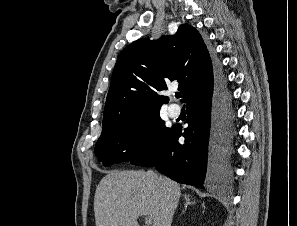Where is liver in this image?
Masks as SVG:
<instances>
[{
  "mask_svg": "<svg viewBox=\"0 0 297 226\" xmlns=\"http://www.w3.org/2000/svg\"><path fill=\"white\" fill-rule=\"evenodd\" d=\"M180 195L178 183L153 171H111L95 192L96 226H139L142 215L171 226Z\"/></svg>",
  "mask_w": 297,
  "mask_h": 226,
  "instance_id": "1",
  "label": "liver"
}]
</instances>
